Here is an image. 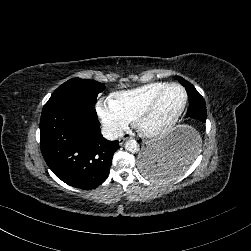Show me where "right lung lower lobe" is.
<instances>
[{"label": "right lung lower lobe", "mask_w": 251, "mask_h": 251, "mask_svg": "<svg viewBox=\"0 0 251 251\" xmlns=\"http://www.w3.org/2000/svg\"><path fill=\"white\" fill-rule=\"evenodd\" d=\"M40 147L46 164L60 180L90 190L108 177L119 141L103 138L94 107L70 102L44 105Z\"/></svg>", "instance_id": "obj_1"}]
</instances>
